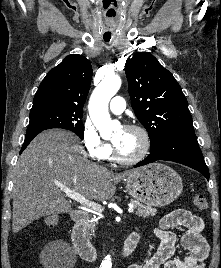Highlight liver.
Here are the masks:
<instances>
[{
    "mask_svg": "<svg viewBox=\"0 0 221 268\" xmlns=\"http://www.w3.org/2000/svg\"><path fill=\"white\" fill-rule=\"evenodd\" d=\"M77 137L63 130L40 133L21 154L14 168L12 231L47 215L71 211L61 184L89 201H105L116 184L133 171L113 173L89 161Z\"/></svg>",
    "mask_w": 221,
    "mask_h": 268,
    "instance_id": "obj_1",
    "label": "liver"
}]
</instances>
